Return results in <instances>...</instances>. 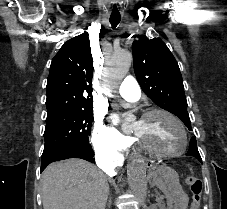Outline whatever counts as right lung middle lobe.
Returning a JSON list of instances; mask_svg holds the SVG:
<instances>
[{
    "mask_svg": "<svg viewBox=\"0 0 227 209\" xmlns=\"http://www.w3.org/2000/svg\"><path fill=\"white\" fill-rule=\"evenodd\" d=\"M93 121L92 98H62L47 106L42 157L53 150L89 144Z\"/></svg>",
    "mask_w": 227,
    "mask_h": 209,
    "instance_id": "dd1d6c3e",
    "label": "right lung middle lobe"
}]
</instances>
